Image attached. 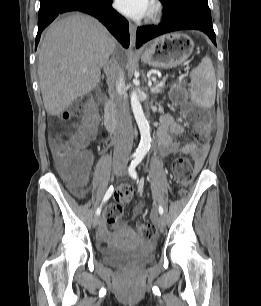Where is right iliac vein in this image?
<instances>
[{
    "mask_svg": "<svg viewBox=\"0 0 261 306\" xmlns=\"http://www.w3.org/2000/svg\"><path fill=\"white\" fill-rule=\"evenodd\" d=\"M118 170H119L118 164H115V165L113 166V172H114L115 174H117V173H118ZM100 221H101V219H100L99 215L95 216L94 219H93V225H94L95 227L98 226L99 223H100Z\"/></svg>",
    "mask_w": 261,
    "mask_h": 306,
    "instance_id": "obj_1",
    "label": "right iliac vein"
}]
</instances>
